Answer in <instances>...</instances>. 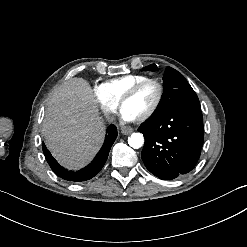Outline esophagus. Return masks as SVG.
I'll return each instance as SVG.
<instances>
[{"label": "esophagus", "instance_id": "34e87169", "mask_svg": "<svg viewBox=\"0 0 247 247\" xmlns=\"http://www.w3.org/2000/svg\"><path fill=\"white\" fill-rule=\"evenodd\" d=\"M120 130L123 135H129L134 131V129L130 126H122Z\"/></svg>", "mask_w": 247, "mask_h": 247}]
</instances>
